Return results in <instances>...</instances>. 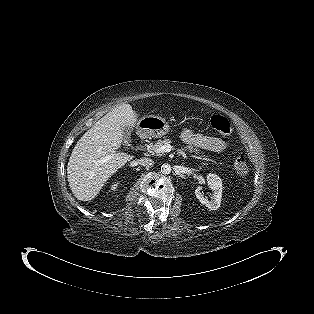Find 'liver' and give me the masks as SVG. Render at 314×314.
I'll use <instances>...</instances> for the list:
<instances>
[{
    "label": "liver",
    "instance_id": "liver-1",
    "mask_svg": "<svg viewBox=\"0 0 314 314\" xmlns=\"http://www.w3.org/2000/svg\"><path fill=\"white\" fill-rule=\"evenodd\" d=\"M138 114L122 104L99 119L77 142L67 166V178L73 195L81 201L93 200L107 180L134 156L117 152L123 129L138 125ZM111 158L102 162V159Z\"/></svg>",
    "mask_w": 314,
    "mask_h": 314
}]
</instances>
